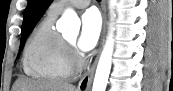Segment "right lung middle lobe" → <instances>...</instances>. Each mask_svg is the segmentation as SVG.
Returning <instances> with one entry per match:
<instances>
[{
	"label": "right lung middle lobe",
	"mask_w": 173,
	"mask_h": 91,
	"mask_svg": "<svg viewBox=\"0 0 173 91\" xmlns=\"http://www.w3.org/2000/svg\"><path fill=\"white\" fill-rule=\"evenodd\" d=\"M30 33H28L27 35H29ZM25 43V37L21 39V45H20V50L23 48Z\"/></svg>",
	"instance_id": "right-lung-middle-lobe-1"
}]
</instances>
